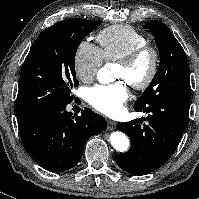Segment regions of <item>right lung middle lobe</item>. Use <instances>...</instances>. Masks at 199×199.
<instances>
[{"label":"right lung middle lobe","instance_id":"obj_1","mask_svg":"<svg viewBox=\"0 0 199 199\" xmlns=\"http://www.w3.org/2000/svg\"><path fill=\"white\" fill-rule=\"evenodd\" d=\"M102 21L68 19L45 29L27 55L20 74L16 100L19 124L66 107L79 82L75 73L76 50Z\"/></svg>","mask_w":199,"mask_h":199}]
</instances>
